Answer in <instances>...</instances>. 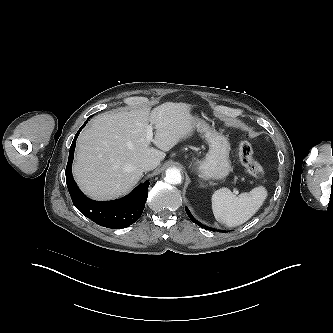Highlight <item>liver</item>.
I'll return each mask as SVG.
<instances>
[{
  "mask_svg": "<svg viewBox=\"0 0 333 333\" xmlns=\"http://www.w3.org/2000/svg\"><path fill=\"white\" fill-rule=\"evenodd\" d=\"M150 122V124H149ZM156 129L146 140L147 127ZM190 110L164 103L152 111L106 112L96 116L78 137L73 174L81 190L96 200H110L127 194L140 180L141 163L163 160L165 152L191 135Z\"/></svg>",
  "mask_w": 333,
  "mask_h": 333,
  "instance_id": "1",
  "label": "liver"
}]
</instances>
